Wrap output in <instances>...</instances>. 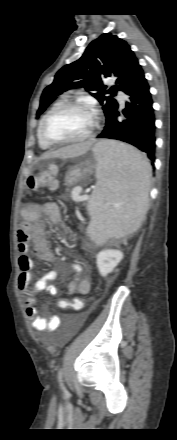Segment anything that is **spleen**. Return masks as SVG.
<instances>
[{
	"mask_svg": "<svg viewBox=\"0 0 177 440\" xmlns=\"http://www.w3.org/2000/svg\"><path fill=\"white\" fill-rule=\"evenodd\" d=\"M97 187L88 202L90 239L97 245L136 231L147 210L151 166L135 148L104 140L94 148Z\"/></svg>",
	"mask_w": 177,
	"mask_h": 440,
	"instance_id": "spleen-1",
	"label": "spleen"
}]
</instances>
